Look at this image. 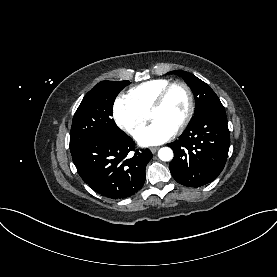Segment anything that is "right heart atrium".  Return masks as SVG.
I'll list each match as a JSON object with an SVG mask.
<instances>
[{
    "label": "right heart atrium",
    "instance_id": "d8ad5b80",
    "mask_svg": "<svg viewBox=\"0 0 277 277\" xmlns=\"http://www.w3.org/2000/svg\"><path fill=\"white\" fill-rule=\"evenodd\" d=\"M113 118L116 124L134 136L145 124V115L126 95H120L113 104Z\"/></svg>",
    "mask_w": 277,
    "mask_h": 277
}]
</instances>
